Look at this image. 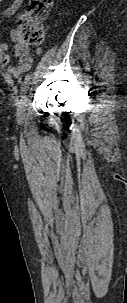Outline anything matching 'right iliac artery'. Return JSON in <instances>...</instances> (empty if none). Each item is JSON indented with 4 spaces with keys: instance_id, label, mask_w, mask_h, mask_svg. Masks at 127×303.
Here are the masks:
<instances>
[{
    "instance_id": "82829eb1",
    "label": "right iliac artery",
    "mask_w": 127,
    "mask_h": 303,
    "mask_svg": "<svg viewBox=\"0 0 127 303\" xmlns=\"http://www.w3.org/2000/svg\"><path fill=\"white\" fill-rule=\"evenodd\" d=\"M30 79H31V76H30V75H27V76L25 77L24 84H23V86L21 87V92H22V93H26V92L28 91L29 86H30V84H31Z\"/></svg>"
}]
</instances>
